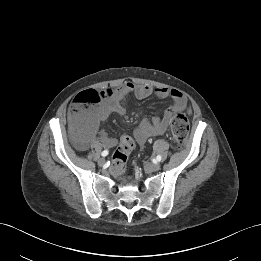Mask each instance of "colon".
<instances>
[{"mask_svg":"<svg viewBox=\"0 0 261 261\" xmlns=\"http://www.w3.org/2000/svg\"><path fill=\"white\" fill-rule=\"evenodd\" d=\"M89 94H83L73 100L70 106L71 121L74 128L80 131L87 127L93 113V106ZM189 132V121L185 114L178 113L171 121V133L177 147L186 145ZM134 148V140L130 136L120 138L119 147L112 158V169L115 173L123 172L129 152Z\"/></svg>","mask_w":261,"mask_h":261,"instance_id":"5ec220e1","label":"colon"}]
</instances>
